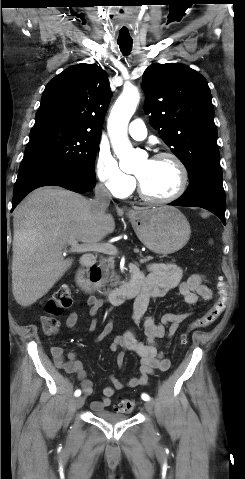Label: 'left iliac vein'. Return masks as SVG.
Here are the masks:
<instances>
[{"instance_id": "obj_1", "label": "left iliac vein", "mask_w": 245, "mask_h": 479, "mask_svg": "<svg viewBox=\"0 0 245 479\" xmlns=\"http://www.w3.org/2000/svg\"><path fill=\"white\" fill-rule=\"evenodd\" d=\"M144 408L146 409L147 412H149L150 414H153L154 413V405L151 401H146L144 403Z\"/></svg>"}]
</instances>
